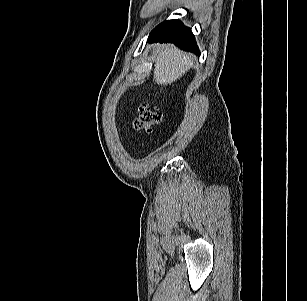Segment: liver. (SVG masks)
<instances>
[{"label": "liver", "mask_w": 307, "mask_h": 301, "mask_svg": "<svg viewBox=\"0 0 307 301\" xmlns=\"http://www.w3.org/2000/svg\"><path fill=\"white\" fill-rule=\"evenodd\" d=\"M153 48L157 49L154 80L158 85H170L193 66L191 56L174 45L154 44Z\"/></svg>", "instance_id": "6515ba94"}]
</instances>
